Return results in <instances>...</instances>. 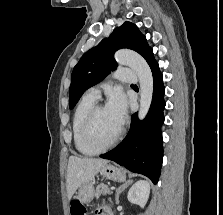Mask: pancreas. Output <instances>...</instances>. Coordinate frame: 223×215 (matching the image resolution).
Listing matches in <instances>:
<instances>
[{"label": "pancreas", "instance_id": "1", "mask_svg": "<svg viewBox=\"0 0 223 215\" xmlns=\"http://www.w3.org/2000/svg\"><path fill=\"white\" fill-rule=\"evenodd\" d=\"M95 190L97 191L95 194L96 197H100V195H106V193H111L110 189H108L107 183H99Z\"/></svg>", "mask_w": 223, "mask_h": 215}]
</instances>
